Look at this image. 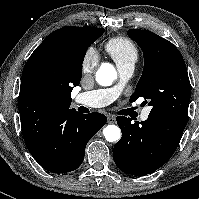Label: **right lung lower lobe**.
Returning <instances> with one entry per match:
<instances>
[{
  "label": "right lung lower lobe",
  "mask_w": 199,
  "mask_h": 199,
  "mask_svg": "<svg viewBox=\"0 0 199 199\" xmlns=\"http://www.w3.org/2000/svg\"><path fill=\"white\" fill-rule=\"evenodd\" d=\"M106 121L107 117L98 112H71L61 119L53 133L26 146L44 169L53 173L70 172L81 165L86 144Z\"/></svg>",
  "instance_id": "1"
}]
</instances>
